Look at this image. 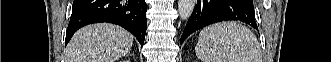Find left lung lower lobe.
<instances>
[{
	"label": "left lung lower lobe",
	"mask_w": 331,
	"mask_h": 62,
	"mask_svg": "<svg viewBox=\"0 0 331 62\" xmlns=\"http://www.w3.org/2000/svg\"><path fill=\"white\" fill-rule=\"evenodd\" d=\"M239 20L257 28L252 0H198L180 39L215 22Z\"/></svg>",
	"instance_id": "1"
}]
</instances>
